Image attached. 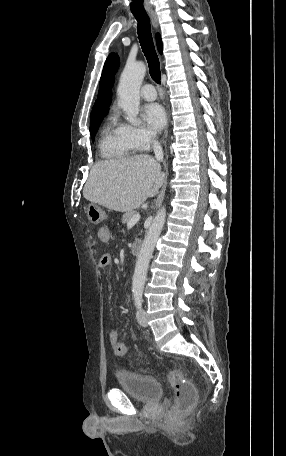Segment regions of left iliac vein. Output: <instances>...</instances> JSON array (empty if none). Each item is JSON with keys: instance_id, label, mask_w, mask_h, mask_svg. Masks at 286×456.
I'll return each instance as SVG.
<instances>
[{"instance_id": "obj_1", "label": "left iliac vein", "mask_w": 286, "mask_h": 456, "mask_svg": "<svg viewBox=\"0 0 286 456\" xmlns=\"http://www.w3.org/2000/svg\"><path fill=\"white\" fill-rule=\"evenodd\" d=\"M136 319L138 321V323L143 326V327H146L147 326V316H146V312L144 309H139L136 313Z\"/></svg>"}]
</instances>
